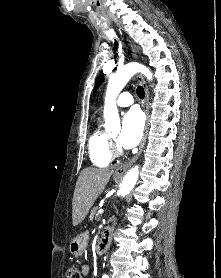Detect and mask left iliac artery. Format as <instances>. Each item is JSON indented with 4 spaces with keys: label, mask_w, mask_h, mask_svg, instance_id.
Wrapping results in <instances>:
<instances>
[{
    "label": "left iliac artery",
    "mask_w": 221,
    "mask_h": 278,
    "mask_svg": "<svg viewBox=\"0 0 221 278\" xmlns=\"http://www.w3.org/2000/svg\"><path fill=\"white\" fill-rule=\"evenodd\" d=\"M102 278H109L108 275H103Z\"/></svg>",
    "instance_id": "left-iliac-artery-1"
}]
</instances>
